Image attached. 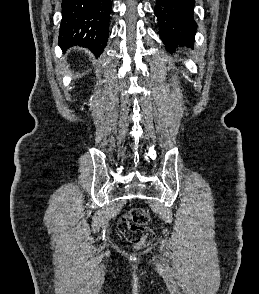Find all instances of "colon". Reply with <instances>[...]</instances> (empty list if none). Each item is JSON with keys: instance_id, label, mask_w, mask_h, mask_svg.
<instances>
[{"instance_id": "colon-1", "label": "colon", "mask_w": 259, "mask_h": 294, "mask_svg": "<svg viewBox=\"0 0 259 294\" xmlns=\"http://www.w3.org/2000/svg\"><path fill=\"white\" fill-rule=\"evenodd\" d=\"M149 213L143 208H133L118 223V228L127 241L135 247H146L154 239V232L147 224Z\"/></svg>"}]
</instances>
